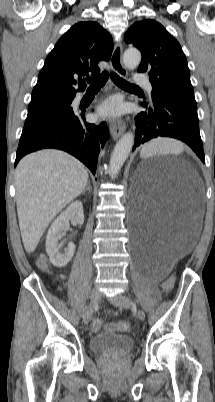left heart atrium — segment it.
I'll list each match as a JSON object with an SVG mask.
<instances>
[{
  "mask_svg": "<svg viewBox=\"0 0 215 402\" xmlns=\"http://www.w3.org/2000/svg\"><path fill=\"white\" fill-rule=\"evenodd\" d=\"M121 112V106L116 100H109L100 106L98 114L101 117H115Z\"/></svg>",
  "mask_w": 215,
  "mask_h": 402,
  "instance_id": "39dd6f15",
  "label": "left heart atrium"
}]
</instances>
